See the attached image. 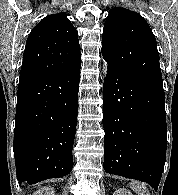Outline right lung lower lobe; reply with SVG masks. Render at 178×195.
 I'll return each instance as SVG.
<instances>
[{"label":"right lung lower lobe","instance_id":"1","mask_svg":"<svg viewBox=\"0 0 178 195\" xmlns=\"http://www.w3.org/2000/svg\"><path fill=\"white\" fill-rule=\"evenodd\" d=\"M80 68L19 80L13 142L19 182L71 172Z\"/></svg>","mask_w":178,"mask_h":195}]
</instances>
